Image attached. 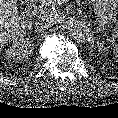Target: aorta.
I'll return each mask as SVG.
<instances>
[{
    "instance_id": "1",
    "label": "aorta",
    "mask_w": 118,
    "mask_h": 118,
    "mask_svg": "<svg viewBox=\"0 0 118 118\" xmlns=\"http://www.w3.org/2000/svg\"><path fill=\"white\" fill-rule=\"evenodd\" d=\"M66 27L75 39L83 43L91 42L93 40L89 29L86 28L84 24L78 20H68L66 23Z\"/></svg>"
}]
</instances>
